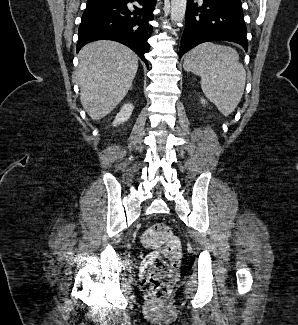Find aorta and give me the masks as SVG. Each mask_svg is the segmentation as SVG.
Wrapping results in <instances>:
<instances>
[{
  "label": "aorta",
  "instance_id": "obj_1",
  "mask_svg": "<svg viewBox=\"0 0 298 325\" xmlns=\"http://www.w3.org/2000/svg\"><path fill=\"white\" fill-rule=\"evenodd\" d=\"M187 0H171V14L172 22H180L185 18Z\"/></svg>",
  "mask_w": 298,
  "mask_h": 325
}]
</instances>
